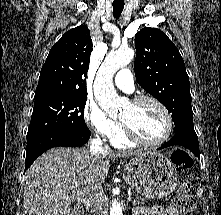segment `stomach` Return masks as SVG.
<instances>
[{"label": "stomach", "mask_w": 221, "mask_h": 215, "mask_svg": "<svg viewBox=\"0 0 221 215\" xmlns=\"http://www.w3.org/2000/svg\"><path fill=\"white\" fill-rule=\"evenodd\" d=\"M123 178L139 194L160 199L169 196L177 186L171 160L160 152H145L125 166Z\"/></svg>", "instance_id": "0dacf381"}]
</instances>
